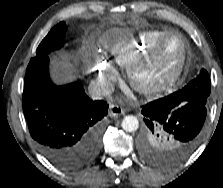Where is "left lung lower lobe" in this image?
Listing matches in <instances>:
<instances>
[{
  "label": "left lung lower lobe",
  "instance_id": "0a47b994",
  "mask_svg": "<svg viewBox=\"0 0 223 188\" xmlns=\"http://www.w3.org/2000/svg\"><path fill=\"white\" fill-rule=\"evenodd\" d=\"M145 129L161 130L177 144V155L185 158L197 147L207 109L195 103L180 104L166 98L157 99L142 107Z\"/></svg>",
  "mask_w": 223,
  "mask_h": 188
}]
</instances>
